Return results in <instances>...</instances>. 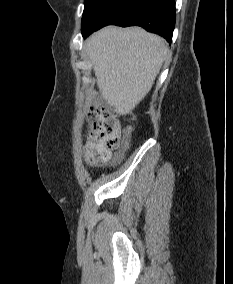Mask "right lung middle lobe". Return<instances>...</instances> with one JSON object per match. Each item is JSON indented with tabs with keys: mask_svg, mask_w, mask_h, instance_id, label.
<instances>
[{
	"mask_svg": "<svg viewBox=\"0 0 233 284\" xmlns=\"http://www.w3.org/2000/svg\"><path fill=\"white\" fill-rule=\"evenodd\" d=\"M110 1L111 0H85V8L82 16V29L86 28Z\"/></svg>",
	"mask_w": 233,
	"mask_h": 284,
	"instance_id": "right-lung-middle-lobe-1",
	"label": "right lung middle lobe"
}]
</instances>
